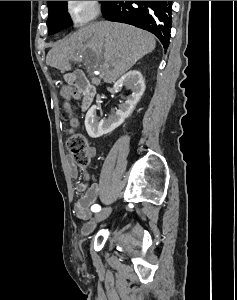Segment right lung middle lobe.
Listing matches in <instances>:
<instances>
[{
	"instance_id": "right-lung-middle-lobe-1",
	"label": "right lung middle lobe",
	"mask_w": 237,
	"mask_h": 300,
	"mask_svg": "<svg viewBox=\"0 0 237 300\" xmlns=\"http://www.w3.org/2000/svg\"><path fill=\"white\" fill-rule=\"evenodd\" d=\"M104 2V1H102ZM49 16L47 19L48 34L52 35L72 25L67 14L66 1H47Z\"/></svg>"
}]
</instances>
